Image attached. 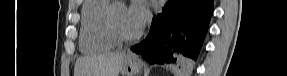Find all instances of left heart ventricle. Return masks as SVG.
I'll return each mask as SVG.
<instances>
[{
	"label": "left heart ventricle",
	"mask_w": 287,
	"mask_h": 76,
	"mask_svg": "<svg viewBox=\"0 0 287 76\" xmlns=\"http://www.w3.org/2000/svg\"><path fill=\"white\" fill-rule=\"evenodd\" d=\"M116 20L119 27L126 33L133 34L140 29L132 22L126 6L119 5L116 7Z\"/></svg>",
	"instance_id": "1"
}]
</instances>
